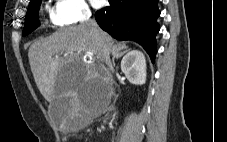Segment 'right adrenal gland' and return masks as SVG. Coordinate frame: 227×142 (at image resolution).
I'll use <instances>...</instances> for the list:
<instances>
[{
  "mask_svg": "<svg viewBox=\"0 0 227 142\" xmlns=\"http://www.w3.org/2000/svg\"><path fill=\"white\" fill-rule=\"evenodd\" d=\"M128 51H130V49H127V50H124V51H121V50H115V51H113L112 52V54H113V58H112L113 66H115V59H118V58L122 57Z\"/></svg>",
  "mask_w": 227,
  "mask_h": 142,
  "instance_id": "1",
  "label": "right adrenal gland"
}]
</instances>
